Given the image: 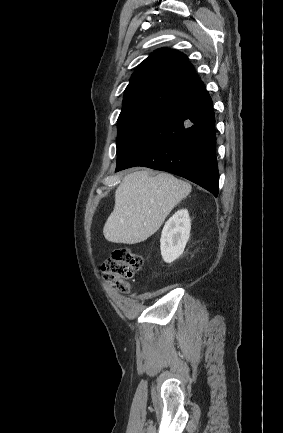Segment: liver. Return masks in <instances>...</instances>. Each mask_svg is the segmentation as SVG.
Returning a JSON list of instances; mask_svg holds the SVG:
<instances>
[{"mask_svg":"<svg viewBox=\"0 0 283 433\" xmlns=\"http://www.w3.org/2000/svg\"><path fill=\"white\" fill-rule=\"evenodd\" d=\"M191 188L167 172L150 176L148 170H136L126 174L115 190L114 210L103 229L105 239L127 245L146 241Z\"/></svg>","mask_w":283,"mask_h":433,"instance_id":"6515ba94","label":"liver"}]
</instances>
